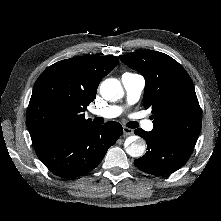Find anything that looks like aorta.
<instances>
[{
    "mask_svg": "<svg viewBox=\"0 0 221 221\" xmlns=\"http://www.w3.org/2000/svg\"><path fill=\"white\" fill-rule=\"evenodd\" d=\"M101 96L108 101H116L123 95L121 83L114 78L104 80L100 85ZM126 152L131 157H141L145 153V142L140 138L132 139L126 147Z\"/></svg>",
    "mask_w": 221,
    "mask_h": 221,
    "instance_id": "obj_1",
    "label": "aorta"
}]
</instances>
